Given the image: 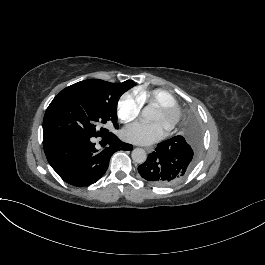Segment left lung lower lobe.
<instances>
[{
	"label": "left lung lower lobe",
	"instance_id": "left-lung-lower-lobe-1",
	"mask_svg": "<svg viewBox=\"0 0 265 265\" xmlns=\"http://www.w3.org/2000/svg\"><path fill=\"white\" fill-rule=\"evenodd\" d=\"M190 124L195 137L193 144H189L183 136H175L159 143L155 151L138 167V172L144 179L158 186L171 185L192 169L199 153L197 136L200 126L196 120Z\"/></svg>",
	"mask_w": 265,
	"mask_h": 265
}]
</instances>
